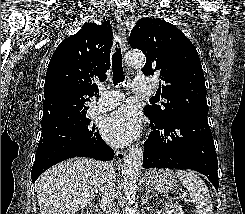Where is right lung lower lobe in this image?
<instances>
[{
  "label": "right lung lower lobe",
  "instance_id": "obj_1",
  "mask_svg": "<svg viewBox=\"0 0 245 214\" xmlns=\"http://www.w3.org/2000/svg\"><path fill=\"white\" fill-rule=\"evenodd\" d=\"M91 142L80 144L73 134L68 137L59 136L55 139H40L32 167L31 178L34 183L48 168L73 157H90L102 161L112 160L114 151L92 128Z\"/></svg>",
  "mask_w": 245,
  "mask_h": 214
}]
</instances>
